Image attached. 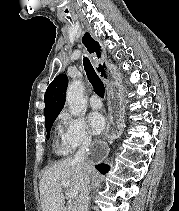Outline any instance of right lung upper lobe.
I'll use <instances>...</instances> for the list:
<instances>
[{"label":"right lung upper lobe","mask_w":179,"mask_h":211,"mask_svg":"<svg viewBox=\"0 0 179 211\" xmlns=\"http://www.w3.org/2000/svg\"><path fill=\"white\" fill-rule=\"evenodd\" d=\"M97 56H100V52L96 51ZM102 76H106V66L99 65L97 68ZM68 84V78L65 74L58 75L48 86L45 96V118L46 120L57 117L65 104V91Z\"/></svg>","instance_id":"obj_1"}]
</instances>
